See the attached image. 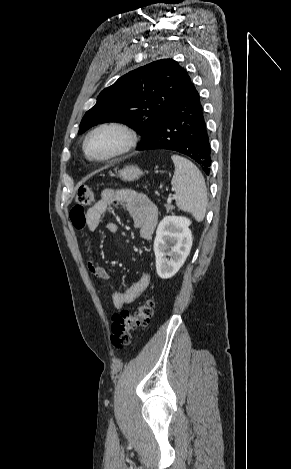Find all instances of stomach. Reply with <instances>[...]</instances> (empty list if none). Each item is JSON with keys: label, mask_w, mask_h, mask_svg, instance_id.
Here are the masks:
<instances>
[{"label": "stomach", "mask_w": 291, "mask_h": 469, "mask_svg": "<svg viewBox=\"0 0 291 469\" xmlns=\"http://www.w3.org/2000/svg\"><path fill=\"white\" fill-rule=\"evenodd\" d=\"M142 171L137 166H126L119 171V177L124 181H134L139 179Z\"/></svg>", "instance_id": "obj_1"}]
</instances>
